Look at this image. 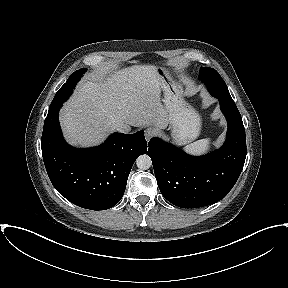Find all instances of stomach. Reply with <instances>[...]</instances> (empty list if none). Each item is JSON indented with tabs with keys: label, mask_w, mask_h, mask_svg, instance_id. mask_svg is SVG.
<instances>
[{
	"label": "stomach",
	"mask_w": 288,
	"mask_h": 288,
	"mask_svg": "<svg viewBox=\"0 0 288 288\" xmlns=\"http://www.w3.org/2000/svg\"><path fill=\"white\" fill-rule=\"evenodd\" d=\"M162 82L163 103L167 112L171 136L178 144L195 140L201 130V117L183 98L182 85L174 79L169 70L156 67Z\"/></svg>",
	"instance_id": "0dacf381"
}]
</instances>
